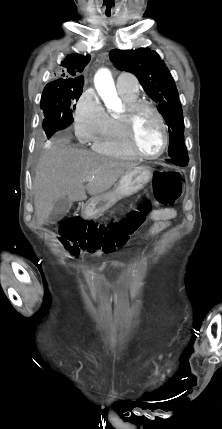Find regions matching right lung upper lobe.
<instances>
[{"label": "right lung upper lobe", "mask_w": 222, "mask_h": 429, "mask_svg": "<svg viewBox=\"0 0 222 429\" xmlns=\"http://www.w3.org/2000/svg\"><path fill=\"white\" fill-rule=\"evenodd\" d=\"M89 61L90 55H68L59 65L58 75L60 78L48 83L45 88L64 89L84 84V78L83 76H80L79 73L83 71Z\"/></svg>", "instance_id": "right-lung-upper-lobe-1"}]
</instances>
